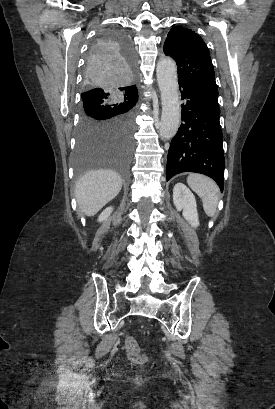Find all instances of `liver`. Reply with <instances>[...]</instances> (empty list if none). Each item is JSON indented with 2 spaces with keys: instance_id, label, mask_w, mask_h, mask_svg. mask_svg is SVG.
Segmentation results:
<instances>
[{
  "instance_id": "obj_1",
  "label": "liver",
  "mask_w": 275,
  "mask_h": 409,
  "mask_svg": "<svg viewBox=\"0 0 275 409\" xmlns=\"http://www.w3.org/2000/svg\"><path fill=\"white\" fill-rule=\"evenodd\" d=\"M121 186L122 178L116 170H88L75 184V196L80 211L87 217H94L109 200L117 196Z\"/></svg>"
}]
</instances>
